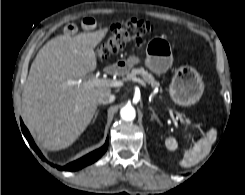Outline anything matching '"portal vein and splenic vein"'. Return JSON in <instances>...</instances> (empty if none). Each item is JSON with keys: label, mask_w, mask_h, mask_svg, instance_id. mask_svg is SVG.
I'll return each mask as SVG.
<instances>
[{"label": "portal vein and splenic vein", "mask_w": 245, "mask_h": 195, "mask_svg": "<svg viewBox=\"0 0 245 195\" xmlns=\"http://www.w3.org/2000/svg\"><path fill=\"white\" fill-rule=\"evenodd\" d=\"M133 81L135 82H138L142 85L145 86V83L143 80H141L140 78H133L132 79ZM82 83V80H78V81H74L73 84H76V85H80ZM88 84H90L91 86H120L119 83H115L114 81L112 80H107V79H99L97 77H93L91 78L90 80H88ZM170 115H174L176 117L177 120H179L183 125H185V122L182 118V115L177 112V111H173L172 109H168Z\"/></svg>", "instance_id": "1"}]
</instances>
